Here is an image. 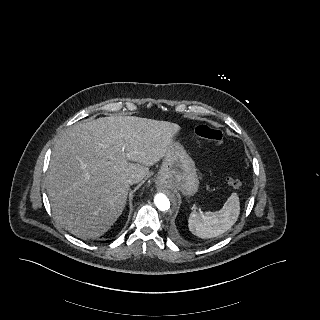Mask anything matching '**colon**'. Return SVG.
<instances>
[{
  "label": "colon",
  "instance_id": "1",
  "mask_svg": "<svg viewBox=\"0 0 320 320\" xmlns=\"http://www.w3.org/2000/svg\"><path fill=\"white\" fill-rule=\"evenodd\" d=\"M195 133L198 137L209 141L212 144L219 145L223 140L222 130L211 127L206 124H199L195 127ZM227 184L231 187L238 188L241 186V181L235 178H227Z\"/></svg>",
  "mask_w": 320,
  "mask_h": 320
}]
</instances>
